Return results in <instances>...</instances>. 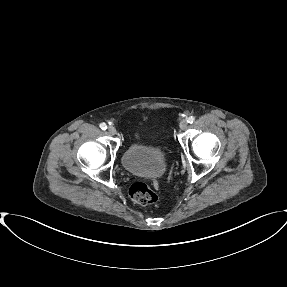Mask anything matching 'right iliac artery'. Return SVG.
Segmentation results:
<instances>
[{"instance_id":"1","label":"right iliac artery","mask_w":287,"mask_h":287,"mask_svg":"<svg viewBox=\"0 0 287 287\" xmlns=\"http://www.w3.org/2000/svg\"><path fill=\"white\" fill-rule=\"evenodd\" d=\"M100 128H101L102 130H106V129H107V125H106L105 123H101V124H100Z\"/></svg>"}]
</instances>
